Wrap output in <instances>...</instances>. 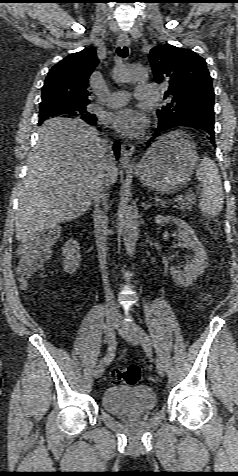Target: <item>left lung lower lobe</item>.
<instances>
[{"label": "left lung lower lobe", "instance_id": "0a47b994", "mask_svg": "<svg viewBox=\"0 0 238 476\" xmlns=\"http://www.w3.org/2000/svg\"><path fill=\"white\" fill-rule=\"evenodd\" d=\"M177 126L202 129L209 134L207 138L211 141L213 145H215L214 120L198 116L190 117L179 121H167L164 123L159 122L158 128L153 133V137L148 141L147 146H150L154 142V139L160 136V132Z\"/></svg>", "mask_w": 238, "mask_h": 476}]
</instances>
